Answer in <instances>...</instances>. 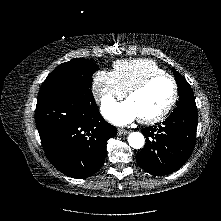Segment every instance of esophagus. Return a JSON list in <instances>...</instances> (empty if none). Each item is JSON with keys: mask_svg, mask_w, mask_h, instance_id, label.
<instances>
[{"mask_svg": "<svg viewBox=\"0 0 221 221\" xmlns=\"http://www.w3.org/2000/svg\"><path fill=\"white\" fill-rule=\"evenodd\" d=\"M129 133V131H127V130H125V129H118V135H126V134H128Z\"/></svg>", "mask_w": 221, "mask_h": 221, "instance_id": "1", "label": "esophagus"}]
</instances>
